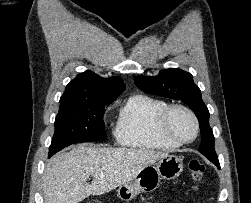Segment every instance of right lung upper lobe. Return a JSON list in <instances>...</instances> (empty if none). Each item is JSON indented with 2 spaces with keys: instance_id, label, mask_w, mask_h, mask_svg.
Listing matches in <instances>:
<instances>
[{
  "instance_id": "1",
  "label": "right lung upper lobe",
  "mask_w": 251,
  "mask_h": 203,
  "mask_svg": "<svg viewBox=\"0 0 251 203\" xmlns=\"http://www.w3.org/2000/svg\"><path fill=\"white\" fill-rule=\"evenodd\" d=\"M125 90L120 77L102 78L92 71L80 73L67 84L60 105L78 102H113Z\"/></svg>"
}]
</instances>
